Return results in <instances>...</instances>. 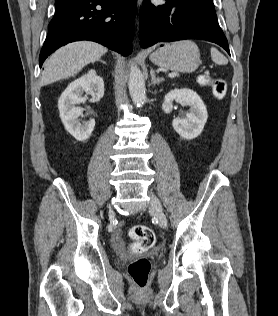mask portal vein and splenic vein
I'll list each match as a JSON object with an SVG mask.
<instances>
[{
	"mask_svg": "<svg viewBox=\"0 0 278 316\" xmlns=\"http://www.w3.org/2000/svg\"><path fill=\"white\" fill-rule=\"evenodd\" d=\"M176 76H177V73H170V74L168 75L169 78H174V77H176Z\"/></svg>",
	"mask_w": 278,
	"mask_h": 316,
	"instance_id": "obj_1",
	"label": "portal vein and splenic vein"
}]
</instances>
